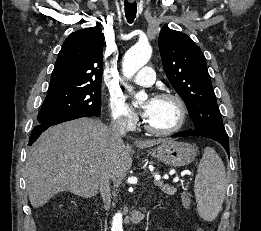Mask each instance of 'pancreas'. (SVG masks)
Segmentation results:
<instances>
[{"label":"pancreas","instance_id":"obj_1","mask_svg":"<svg viewBox=\"0 0 261 231\" xmlns=\"http://www.w3.org/2000/svg\"><path fill=\"white\" fill-rule=\"evenodd\" d=\"M159 188L167 195H174L177 191L176 187L170 186L168 184H156ZM183 186V184H181Z\"/></svg>","mask_w":261,"mask_h":231}]
</instances>
